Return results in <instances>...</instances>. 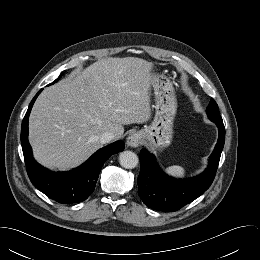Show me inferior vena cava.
Here are the masks:
<instances>
[{
	"mask_svg": "<svg viewBox=\"0 0 260 260\" xmlns=\"http://www.w3.org/2000/svg\"><path fill=\"white\" fill-rule=\"evenodd\" d=\"M113 139H115V135L112 132H105L100 136V142L102 144L109 143Z\"/></svg>",
	"mask_w": 260,
	"mask_h": 260,
	"instance_id": "602c4592",
	"label": "inferior vena cava"
}]
</instances>
